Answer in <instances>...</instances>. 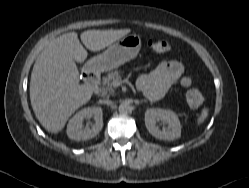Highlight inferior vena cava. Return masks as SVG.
I'll return each instance as SVG.
<instances>
[{"instance_id":"602c4592","label":"inferior vena cava","mask_w":249,"mask_h":188,"mask_svg":"<svg viewBox=\"0 0 249 188\" xmlns=\"http://www.w3.org/2000/svg\"><path fill=\"white\" fill-rule=\"evenodd\" d=\"M103 103H104V104H107V105H112V104H113V102L110 101V100H104Z\"/></svg>"}]
</instances>
